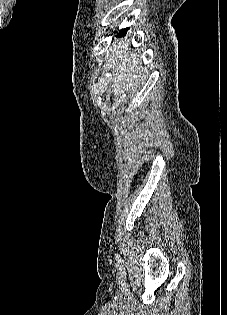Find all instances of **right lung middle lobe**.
<instances>
[{
    "label": "right lung middle lobe",
    "mask_w": 227,
    "mask_h": 315,
    "mask_svg": "<svg viewBox=\"0 0 227 315\" xmlns=\"http://www.w3.org/2000/svg\"><path fill=\"white\" fill-rule=\"evenodd\" d=\"M128 29H129V28H126V29L121 30L120 33H119V35L122 36L123 34H126V32H127Z\"/></svg>",
    "instance_id": "obj_1"
}]
</instances>
